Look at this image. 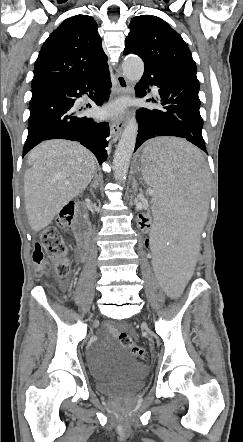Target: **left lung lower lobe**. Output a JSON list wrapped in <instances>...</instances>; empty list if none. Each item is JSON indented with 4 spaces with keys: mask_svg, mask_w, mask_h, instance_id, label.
Here are the masks:
<instances>
[{
    "mask_svg": "<svg viewBox=\"0 0 243 442\" xmlns=\"http://www.w3.org/2000/svg\"><path fill=\"white\" fill-rule=\"evenodd\" d=\"M150 84L159 87L163 108L137 110L139 129L134 151L148 139L176 136L185 138L207 153L202 137L203 120L199 112V82L196 75L145 65L144 74L135 87L137 95H146Z\"/></svg>",
    "mask_w": 243,
    "mask_h": 442,
    "instance_id": "0a47b994",
    "label": "left lung lower lobe"
}]
</instances>
